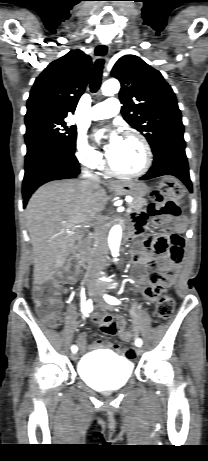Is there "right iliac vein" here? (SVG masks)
Instances as JSON below:
<instances>
[{
  "instance_id": "1",
  "label": "right iliac vein",
  "mask_w": 208,
  "mask_h": 461,
  "mask_svg": "<svg viewBox=\"0 0 208 461\" xmlns=\"http://www.w3.org/2000/svg\"><path fill=\"white\" fill-rule=\"evenodd\" d=\"M88 293H89V296H90L92 299H95V296H96V295H95V292H94L93 289H90ZM77 358H78V356H77L76 353H72V354H71V359H72V360L76 361Z\"/></svg>"
}]
</instances>
